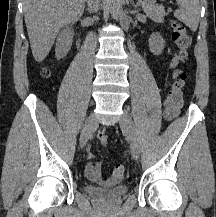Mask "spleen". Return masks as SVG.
Instances as JSON below:
<instances>
[{"label":"spleen","instance_id":"1","mask_svg":"<svg viewBox=\"0 0 216 217\" xmlns=\"http://www.w3.org/2000/svg\"><path fill=\"white\" fill-rule=\"evenodd\" d=\"M181 8L174 13L175 17L186 24L192 31H196L200 18L199 0H176Z\"/></svg>","mask_w":216,"mask_h":217}]
</instances>
